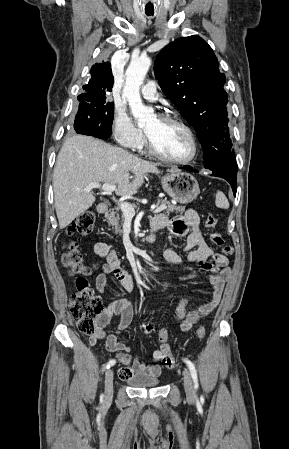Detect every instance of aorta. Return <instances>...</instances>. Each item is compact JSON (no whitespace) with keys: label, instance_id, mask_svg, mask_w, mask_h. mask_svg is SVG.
<instances>
[{"label":"aorta","instance_id":"1","mask_svg":"<svg viewBox=\"0 0 289 449\" xmlns=\"http://www.w3.org/2000/svg\"><path fill=\"white\" fill-rule=\"evenodd\" d=\"M151 59L148 56H140L132 59L126 70V82L123 88V96L126 97L131 112L139 126H144L153 117L154 112L146 107L140 97V86L149 70Z\"/></svg>","mask_w":289,"mask_h":449}]
</instances>
